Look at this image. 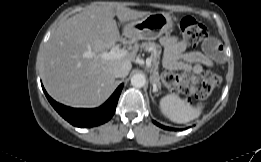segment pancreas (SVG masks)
<instances>
[{
	"mask_svg": "<svg viewBox=\"0 0 261 162\" xmlns=\"http://www.w3.org/2000/svg\"><path fill=\"white\" fill-rule=\"evenodd\" d=\"M141 48L144 51L151 53V81L157 89H160L161 82L158 70L160 63L161 46L154 42H144L142 43Z\"/></svg>",
	"mask_w": 261,
	"mask_h": 162,
	"instance_id": "obj_1",
	"label": "pancreas"
}]
</instances>
